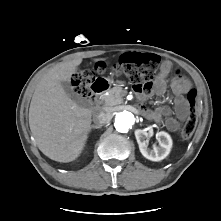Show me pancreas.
<instances>
[{"label":"pancreas","instance_id":"obj_1","mask_svg":"<svg viewBox=\"0 0 221 221\" xmlns=\"http://www.w3.org/2000/svg\"><path fill=\"white\" fill-rule=\"evenodd\" d=\"M126 95V91L122 87L115 86L108 91V95L102 96V103L104 107L109 108L119 105L123 102V97Z\"/></svg>","mask_w":221,"mask_h":221}]
</instances>
